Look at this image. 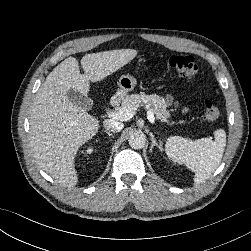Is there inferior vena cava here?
Masks as SVG:
<instances>
[{
  "instance_id": "1",
  "label": "inferior vena cava",
  "mask_w": 251,
  "mask_h": 251,
  "mask_svg": "<svg viewBox=\"0 0 251 251\" xmlns=\"http://www.w3.org/2000/svg\"><path fill=\"white\" fill-rule=\"evenodd\" d=\"M104 128L111 132H119L123 129L124 125L121 122L107 119L103 122Z\"/></svg>"
}]
</instances>
